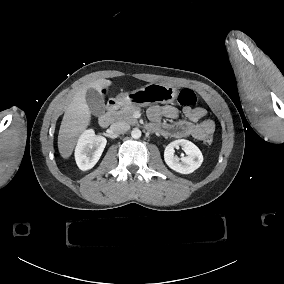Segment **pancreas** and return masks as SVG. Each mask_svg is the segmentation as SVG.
<instances>
[{"label":"pancreas","mask_w":284,"mask_h":284,"mask_svg":"<svg viewBox=\"0 0 284 284\" xmlns=\"http://www.w3.org/2000/svg\"><path fill=\"white\" fill-rule=\"evenodd\" d=\"M136 111H140V108L134 105H125L119 111H111L110 114L114 117L115 121H123L130 125L138 124L133 114Z\"/></svg>","instance_id":"1"}]
</instances>
